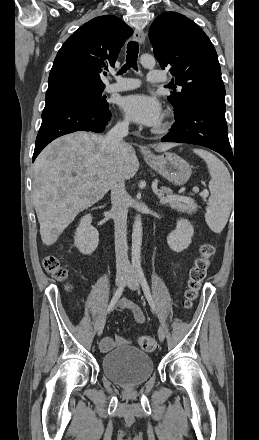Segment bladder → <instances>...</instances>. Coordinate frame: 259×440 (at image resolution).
I'll list each match as a JSON object with an SVG mask.
<instances>
[{
	"label": "bladder",
	"mask_w": 259,
	"mask_h": 440,
	"mask_svg": "<svg viewBox=\"0 0 259 440\" xmlns=\"http://www.w3.org/2000/svg\"><path fill=\"white\" fill-rule=\"evenodd\" d=\"M101 366L104 375L121 386L143 384L154 372L152 358L132 346L119 347L106 353Z\"/></svg>",
	"instance_id": "1"
}]
</instances>
